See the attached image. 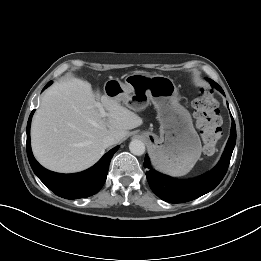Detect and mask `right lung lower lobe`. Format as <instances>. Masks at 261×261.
I'll return each instance as SVG.
<instances>
[{
	"mask_svg": "<svg viewBox=\"0 0 261 261\" xmlns=\"http://www.w3.org/2000/svg\"><path fill=\"white\" fill-rule=\"evenodd\" d=\"M50 81L45 87H48ZM35 110L29 116L27 123V155L29 163L37 177L56 195L66 199L89 197L97 193L104 185L109 163L119 146L107 152L94 166L86 171L75 174H59L42 167L34 158L30 146V125Z\"/></svg>",
	"mask_w": 261,
	"mask_h": 261,
	"instance_id": "right-lung-lower-lobe-1",
	"label": "right lung lower lobe"
}]
</instances>
